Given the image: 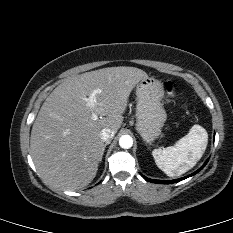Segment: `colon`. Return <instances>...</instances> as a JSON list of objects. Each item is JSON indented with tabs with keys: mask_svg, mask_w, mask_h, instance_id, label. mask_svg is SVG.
I'll use <instances>...</instances> for the list:
<instances>
[{
	"mask_svg": "<svg viewBox=\"0 0 233 233\" xmlns=\"http://www.w3.org/2000/svg\"><path fill=\"white\" fill-rule=\"evenodd\" d=\"M166 91L170 97H174L176 94V85L172 81H168L165 85Z\"/></svg>",
	"mask_w": 233,
	"mask_h": 233,
	"instance_id": "5ec220e1",
	"label": "colon"
}]
</instances>
